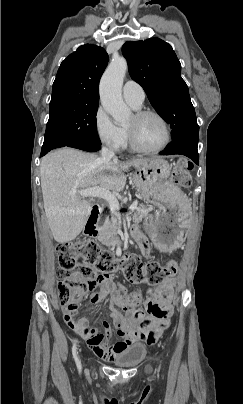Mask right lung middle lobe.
I'll return each instance as SVG.
<instances>
[{"instance_id": "right-lung-middle-lobe-1", "label": "right lung middle lobe", "mask_w": 243, "mask_h": 404, "mask_svg": "<svg viewBox=\"0 0 243 404\" xmlns=\"http://www.w3.org/2000/svg\"><path fill=\"white\" fill-rule=\"evenodd\" d=\"M98 103H63L50 106L41 156L72 142L101 143L96 128Z\"/></svg>"}]
</instances>
